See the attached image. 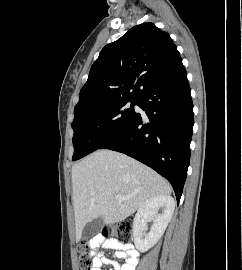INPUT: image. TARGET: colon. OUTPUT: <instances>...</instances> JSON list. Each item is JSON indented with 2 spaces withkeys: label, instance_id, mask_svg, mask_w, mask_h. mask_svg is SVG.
<instances>
[{
  "label": "colon",
  "instance_id": "1",
  "mask_svg": "<svg viewBox=\"0 0 242 270\" xmlns=\"http://www.w3.org/2000/svg\"><path fill=\"white\" fill-rule=\"evenodd\" d=\"M133 222L131 220H122L109 227L104 228L99 234L94 236L93 240L102 237L113 240H129L132 236ZM91 245L87 242L80 245L79 266L81 270H91L93 259L91 257Z\"/></svg>",
  "mask_w": 242,
  "mask_h": 270
}]
</instances>
